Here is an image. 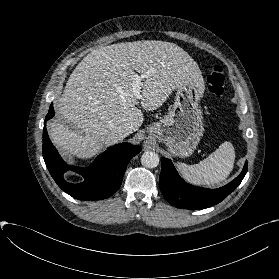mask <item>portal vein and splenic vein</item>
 <instances>
[{
  "mask_svg": "<svg viewBox=\"0 0 279 279\" xmlns=\"http://www.w3.org/2000/svg\"><path fill=\"white\" fill-rule=\"evenodd\" d=\"M144 78H146L145 74H143L141 76L135 74L134 77H133V84H132L133 93H134V95L136 96L137 99H141L140 92H141L142 80Z\"/></svg>",
  "mask_w": 279,
  "mask_h": 279,
  "instance_id": "obj_1",
  "label": "portal vein and splenic vein"
}]
</instances>
